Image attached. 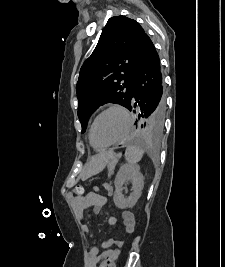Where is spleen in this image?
<instances>
[{
    "instance_id": "1",
    "label": "spleen",
    "mask_w": 225,
    "mask_h": 267,
    "mask_svg": "<svg viewBox=\"0 0 225 267\" xmlns=\"http://www.w3.org/2000/svg\"><path fill=\"white\" fill-rule=\"evenodd\" d=\"M143 154L144 151L141 148L137 146H129L126 149L125 159L129 164L135 165L142 159Z\"/></svg>"
}]
</instances>
